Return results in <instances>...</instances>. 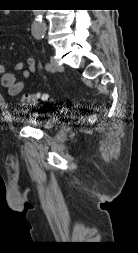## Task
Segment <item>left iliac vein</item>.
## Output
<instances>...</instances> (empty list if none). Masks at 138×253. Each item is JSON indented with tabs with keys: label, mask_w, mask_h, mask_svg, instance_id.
I'll use <instances>...</instances> for the list:
<instances>
[{
	"label": "left iliac vein",
	"mask_w": 138,
	"mask_h": 253,
	"mask_svg": "<svg viewBox=\"0 0 138 253\" xmlns=\"http://www.w3.org/2000/svg\"><path fill=\"white\" fill-rule=\"evenodd\" d=\"M50 63L53 71H61L63 69V67L60 66L53 57L51 58Z\"/></svg>",
	"instance_id": "1"
}]
</instances>
